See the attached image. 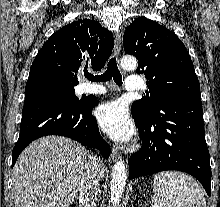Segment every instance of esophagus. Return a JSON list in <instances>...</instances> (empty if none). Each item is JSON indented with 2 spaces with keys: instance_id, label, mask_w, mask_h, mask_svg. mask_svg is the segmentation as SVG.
Here are the masks:
<instances>
[{
  "instance_id": "esophagus-1",
  "label": "esophagus",
  "mask_w": 220,
  "mask_h": 207,
  "mask_svg": "<svg viewBox=\"0 0 220 207\" xmlns=\"http://www.w3.org/2000/svg\"><path fill=\"white\" fill-rule=\"evenodd\" d=\"M120 51H121V35H120V33H116V34H115L114 54H115L116 56H118L119 53H120ZM111 159H112L113 162H116V161H118L119 159H121L120 154H119V153L117 152V150L114 149V148H113L112 151H111Z\"/></svg>"
}]
</instances>
